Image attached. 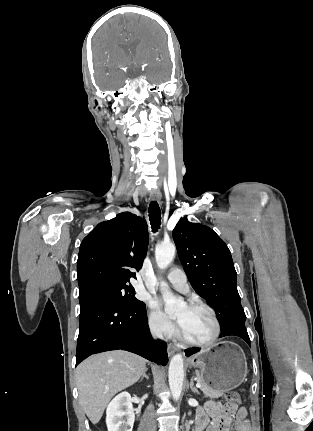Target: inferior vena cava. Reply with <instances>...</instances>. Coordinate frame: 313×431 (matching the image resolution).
Instances as JSON below:
<instances>
[{"label": "inferior vena cava", "mask_w": 313, "mask_h": 431, "mask_svg": "<svg viewBox=\"0 0 313 431\" xmlns=\"http://www.w3.org/2000/svg\"><path fill=\"white\" fill-rule=\"evenodd\" d=\"M151 333L155 338H162V327L159 324H155L151 328Z\"/></svg>", "instance_id": "obj_1"}]
</instances>
